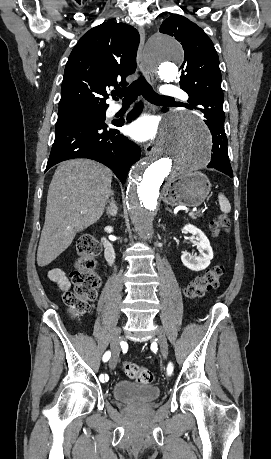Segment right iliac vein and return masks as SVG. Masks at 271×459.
<instances>
[{
	"label": "right iliac vein",
	"instance_id": "63e3f726",
	"mask_svg": "<svg viewBox=\"0 0 271 459\" xmlns=\"http://www.w3.org/2000/svg\"><path fill=\"white\" fill-rule=\"evenodd\" d=\"M119 337H120V328H116V332L111 340V358L109 360V367L114 369L117 365L119 359Z\"/></svg>",
	"mask_w": 271,
	"mask_h": 459
}]
</instances>
